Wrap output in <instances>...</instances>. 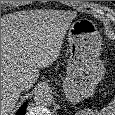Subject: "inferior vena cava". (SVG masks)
<instances>
[{"instance_id": "602c4592", "label": "inferior vena cava", "mask_w": 115, "mask_h": 115, "mask_svg": "<svg viewBox=\"0 0 115 115\" xmlns=\"http://www.w3.org/2000/svg\"><path fill=\"white\" fill-rule=\"evenodd\" d=\"M24 87H25V82H23V80H19L15 82L13 89L19 90L21 92L24 89Z\"/></svg>"}]
</instances>
